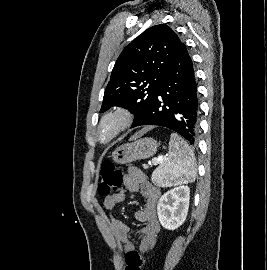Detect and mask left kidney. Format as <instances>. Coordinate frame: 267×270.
I'll use <instances>...</instances> for the list:
<instances>
[{
	"label": "left kidney",
	"instance_id": "obj_1",
	"mask_svg": "<svg viewBox=\"0 0 267 270\" xmlns=\"http://www.w3.org/2000/svg\"><path fill=\"white\" fill-rule=\"evenodd\" d=\"M190 189L178 186L164 193L157 205V214L161 225L168 230L180 227L188 213Z\"/></svg>",
	"mask_w": 267,
	"mask_h": 270
}]
</instances>
